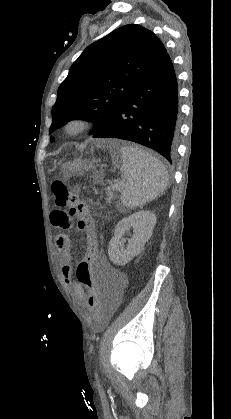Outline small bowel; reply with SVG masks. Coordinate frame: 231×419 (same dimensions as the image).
Masks as SVG:
<instances>
[{
    "instance_id": "obj_1",
    "label": "small bowel",
    "mask_w": 231,
    "mask_h": 419,
    "mask_svg": "<svg viewBox=\"0 0 231 419\" xmlns=\"http://www.w3.org/2000/svg\"><path fill=\"white\" fill-rule=\"evenodd\" d=\"M51 222L56 227L57 232H69L71 227V215L70 213L60 210L53 211L51 213ZM54 249L61 267L64 283L73 290L75 296L81 303H86L85 297L87 294L79 283H73V257L71 254V240L69 235L65 233L58 234L55 238ZM92 265L93 269H95L101 277L103 276V270L109 268L106 256L102 252H100L97 261ZM103 291L105 315L106 317H110L117 310L122 301L121 279L113 275L109 279L105 278Z\"/></svg>"
}]
</instances>
